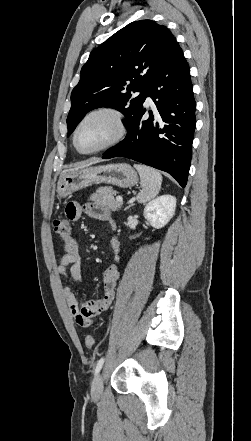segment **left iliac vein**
<instances>
[{
    "instance_id": "left-iliac-vein-1",
    "label": "left iliac vein",
    "mask_w": 251,
    "mask_h": 441,
    "mask_svg": "<svg viewBox=\"0 0 251 441\" xmlns=\"http://www.w3.org/2000/svg\"><path fill=\"white\" fill-rule=\"evenodd\" d=\"M103 391V376L101 373H98L93 379L91 385V395L94 397H99Z\"/></svg>"
}]
</instances>
